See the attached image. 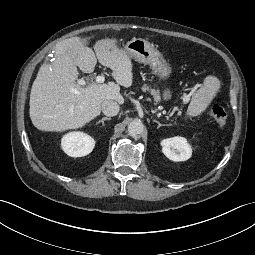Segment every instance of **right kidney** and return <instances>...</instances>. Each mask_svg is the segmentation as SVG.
Instances as JSON below:
<instances>
[{
    "label": "right kidney",
    "mask_w": 255,
    "mask_h": 255,
    "mask_svg": "<svg viewBox=\"0 0 255 255\" xmlns=\"http://www.w3.org/2000/svg\"><path fill=\"white\" fill-rule=\"evenodd\" d=\"M61 146L71 157H82L92 152L95 141L88 134L80 131L70 132L63 136Z\"/></svg>",
    "instance_id": "obj_1"
}]
</instances>
